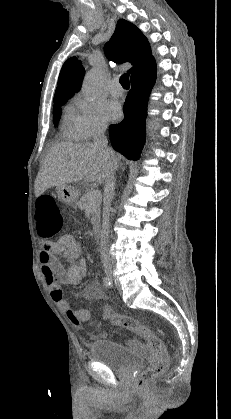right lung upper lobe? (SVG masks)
I'll use <instances>...</instances> for the list:
<instances>
[{"label": "right lung upper lobe", "instance_id": "obj_1", "mask_svg": "<svg viewBox=\"0 0 231 419\" xmlns=\"http://www.w3.org/2000/svg\"><path fill=\"white\" fill-rule=\"evenodd\" d=\"M104 52L114 62L132 63L131 75L154 61L147 38L134 24L124 19L118 21L114 34L104 46ZM84 73L81 61L77 57L69 58L62 66L54 101L70 98L78 92Z\"/></svg>", "mask_w": 231, "mask_h": 419}]
</instances>
